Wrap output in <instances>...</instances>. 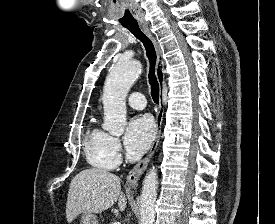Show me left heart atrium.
Returning <instances> with one entry per match:
<instances>
[{"mask_svg": "<svg viewBox=\"0 0 275 224\" xmlns=\"http://www.w3.org/2000/svg\"><path fill=\"white\" fill-rule=\"evenodd\" d=\"M155 134V125L150 116H136L128 123L124 135L125 146L133 154H142L149 148Z\"/></svg>", "mask_w": 275, "mask_h": 224, "instance_id": "obj_1", "label": "left heart atrium"}]
</instances>
